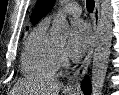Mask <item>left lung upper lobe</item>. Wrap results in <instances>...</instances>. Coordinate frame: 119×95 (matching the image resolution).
Returning <instances> with one entry per match:
<instances>
[{"instance_id": "obj_1", "label": "left lung upper lobe", "mask_w": 119, "mask_h": 95, "mask_svg": "<svg viewBox=\"0 0 119 95\" xmlns=\"http://www.w3.org/2000/svg\"><path fill=\"white\" fill-rule=\"evenodd\" d=\"M55 0H39L33 12L31 19L32 24H36L42 17H44L52 8Z\"/></svg>"}]
</instances>
